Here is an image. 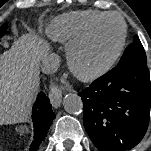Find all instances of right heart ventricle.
<instances>
[{"label":"right heart ventricle","mask_w":151,"mask_h":151,"mask_svg":"<svg viewBox=\"0 0 151 151\" xmlns=\"http://www.w3.org/2000/svg\"><path fill=\"white\" fill-rule=\"evenodd\" d=\"M104 14L106 12L84 10L61 15L49 24L47 34L54 41L74 43Z\"/></svg>","instance_id":"1"}]
</instances>
